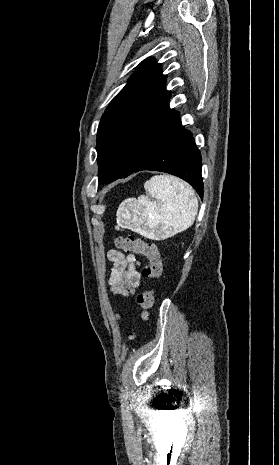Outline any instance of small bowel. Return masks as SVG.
<instances>
[{
	"label": "small bowel",
	"instance_id": "c3829d8e",
	"mask_svg": "<svg viewBox=\"0 0 279 465\" xmlns=\"http://www.w3.org/2000/svg\"><path fill=\"white\" fill-rule=\"evenodd\" d=\"M107 259L113 264L108 278L111 293L114 296H133L141 283L139 260L134 254H124L116 249L107 252Z\"/></svg>",
	"mask_w": 279,
	"mask_h": 465
}]
</instances>
